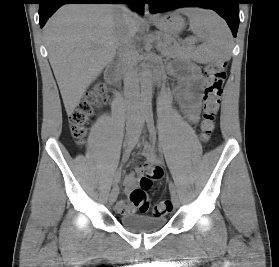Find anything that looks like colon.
Wrapping results in <instances>:
<instances>
[{"label": "colon", "instance_id": "colon-1", "mask_svg": "<svg viewBox=\"0 0 279 267\" xmlns=\"http://www.w3.org/2000/svg\"><path fill=\"white\" fill-rule=\"evenodd\" d=\"M227 63L219 59L210 63L205 68L206 85L203 94V111L200 122V137L207 141L215 126V120L221 105L223 84L226 78ZM108 93L105 86H100L95 93L82 100L69 117L72 136L78 143H82L86 135V124L95 112L107 102ZM161 171L149 166L144 167V173L140 179V188L134 189L130 194L132 204L141 212L150 209L151 203L147 190L152 182L159 178ZM172 204L169 200H162L153 205L152 211L156 216L169 213Z\"/></svg>", "mask_w": 279, "mask_h": 267}]
</instances>
